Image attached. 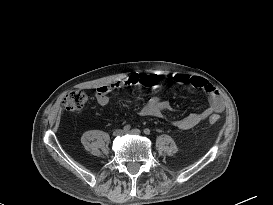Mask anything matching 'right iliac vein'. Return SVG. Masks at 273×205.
<instances>
[{
  "label": "right iliac vein",
  "mask_w": 273,
  "mask_h": 205,
  "mask_svg": "<svg viewBox=\"0 0 273 205\" xmlns=\"http://www.w3.org/2000/svg\"><path fill=\"white\" fill-rule=\"evenodd\" d=\"M124 134V131L122 129H116L114 132H113V135L114 136H121Z\"/></svg>",
  "instance_id": "63e3f726"
}]
</instances>
